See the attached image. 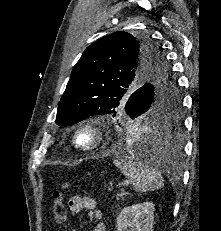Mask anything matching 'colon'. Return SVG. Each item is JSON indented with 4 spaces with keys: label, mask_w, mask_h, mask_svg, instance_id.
Here are the masks:
<instances>
[{
    "label": "colon",
    "mask_w": 221,
    "mask_h": 231,
    "mask_svg": "<svg viewBox=\"0 0 221 231\" xmlns=\"http://www.w3.org/2000/svg\"><path fill=\"white\" fill-rule=\"evenodd\" d=\"M69 184H64L60 189L56 190L53 194V219L57 224H62L66 220L67 212L64 202L66 190Z\"/></svg>",
    "instance_id": "colon-1"
}]
</instances>
